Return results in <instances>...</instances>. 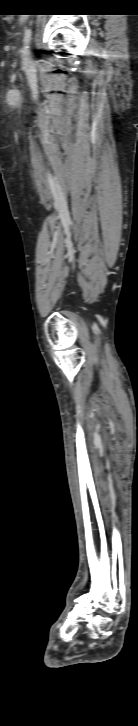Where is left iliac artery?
<instances>
[{
    "label": "left iliac artery",
    "instance_id": "obj_1",
    "mask_svg": "<svg viewBox=\"0 0 138 726\" xmlns=\"http://www.w3.org/2000/svg\"><path fill=\"white\" fill-rule=\"evenodd\" d=\"M31 36H32L31 28L26 29L25 33H24V43L26 44V48H28V44L31 41Z\"/></svg>",
    "mask_w": 138,
    "mask_h": 726
}]
</instances>
